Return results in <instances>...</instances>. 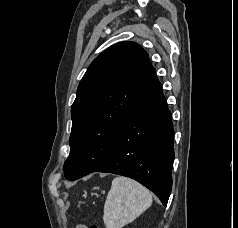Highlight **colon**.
I'll return each instance as SVG.
<instances>
[{
  "label": "colon",
  "mask_w": 238,
  "mask_h": 228,
  "mask_svg": "<svg viewBox=\"0 0 238 228\" xmlns=\"http://www.w3.org/2000/svg\"><path fill=\"white\" fill-rule=\"evenodd\" d=\"M78 228H99L98 226H86V225H79Z\"/></svg>",
  "instance_id": "5ec220e1"
}]
</instances>
